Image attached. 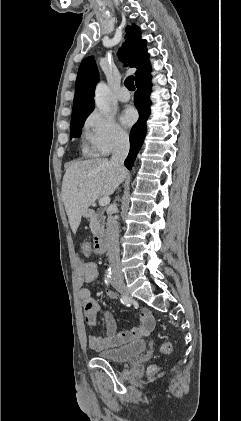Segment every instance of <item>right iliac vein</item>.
<instances>
[{"instance_id":"1","label":"right iliac vein","mask_w":241,"mask_h":421,"mask_svg":"<svg viewBox=\"0 0 241 421\" xmlns=\"http://www.w3.org/2000/svg\"><path fill=\"white\" fill-rule=\"evenodd\" d=\"M112 285L114 286V288L120 292L121 294L128 296L129 295V291L124 283V281L122 279H115L112 281Z\"/></svg>"}]
</instances>
